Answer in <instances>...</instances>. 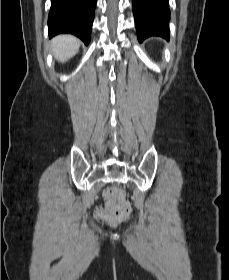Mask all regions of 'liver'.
I'll return each instance as SVG.
<instances>
[{
	"label": "liver",
	"mask_w": 229,
	"mask_h": 280,
	"mask_svg": "<svg viewBox=\"0 0 229 280\" xmlns=\"http://www.w3.org/2000/svg\"><path fill=\"white\" fill-rule=\"evenodd\" d=\"M52 52L59 62H66L79 50L80 41L72 35H59L51 41Z\"/></svg>",
	"instance_id": "obj_1"
}]
</instances>
